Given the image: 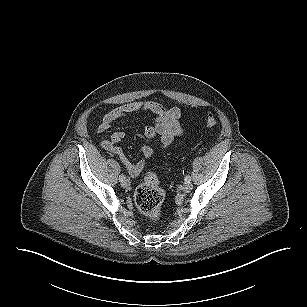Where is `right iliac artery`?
<instances>
[{
	"label": "right iliac artery",
	"mask_w": 307,
	"mask_h": 307,
	"mask_svg": "<svg viewBox=\"0 0 307 307\" xmlns=\"http://www.w3.org/2000/svg\"><path fill=\"white\" fill-rule=\"evenodd\" d=\"M124 179H125V176H124V175H120V176H119V181H120V182H122Z\"/></svg>",
	"instance_id": "obj_1"
}]
</instances>
